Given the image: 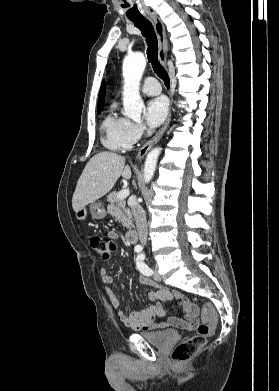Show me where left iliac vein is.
<instances>
[{"label":"left iliac vein","mask_w":279,"mask_h":391,"mask_svg":"<svg viewBox=\"0 0 279 391\" xmlns=\"http://www.w3.org/2000/svg\"><path fill=\"white\" fill-rule=\"evenodd\" d=\"M153 278L155 281H160L161 277L156 269H154Z\"/></svg>","instance_id":"obj_1"}]
</instances>
